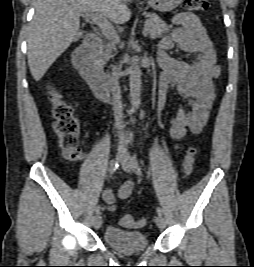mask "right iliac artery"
I'll use <instances>...</instances> for the list:
<instances>
[{
	"mask_svg": "<svg viewBox=\"0 0 254 267\" xmlns=\"http://www.w3.org/2000/svg\"><path fill=\"white\" fill-rule=\"evenodd\" d=\"M118 166H119L118 161H116V162H114V163L111 164V166L109 168L110 175H112L117 170ZM95 213L96 214H99L100 213V206L99 205H97L95 207Z\"/></svg>",
	"mask_w": 254,
	"mask_h": 267,
	"instance_id": "right-iliac-artery-1",
	"label": "right iliac artery"
}]
</instances>
